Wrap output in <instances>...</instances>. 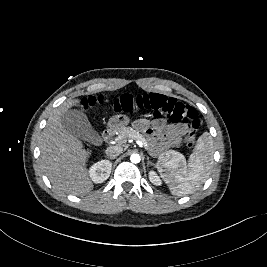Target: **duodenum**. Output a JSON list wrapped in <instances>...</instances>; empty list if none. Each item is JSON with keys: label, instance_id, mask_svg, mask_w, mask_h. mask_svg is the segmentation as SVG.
Instances as JSON below:
<instances>
[{"label": "duodenum", "instance_id": "obj_1", "mask_svg": "<svg viewBox=\"0 0 267 267\" xmlns=\"http://www.w3.org/2000/svg\"><path fill=\"white\" fill-rule=\"evenodd\" d=\"M113 132H114V130L112 127L106 128L102 133L103 141L107 142L112 137Z\"/></svg>", "mask_w": 267, "mask_h": 267}]
</instances>
